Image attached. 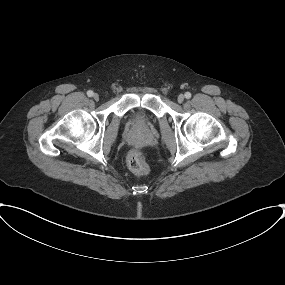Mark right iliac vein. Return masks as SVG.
Instances as JSON below:
<instances>
[{"mask_svg": "<svg viewBox=\"0 0 285 285\" xmlns=\"http://www.w3.org/2000/svg\"><path fill=\"white\" fill-rule=\"evenodd\" d=\"M93 98H94L95 101H98V100H99V95H98L97 93H95V94L93 95Z\"/></svg>", "mask_w": 285, "mask_h": 285, "instance_id": "obj_1", "label": "right iliac vein"}]
</instances>
